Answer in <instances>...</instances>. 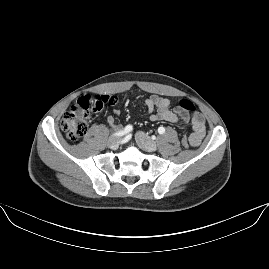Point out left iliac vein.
I'll return each instance as SVG.
<instances>
[{
	"label": "left iliac vein",
	"mask_w": 269,
	"mask_h": 269,
	"mask_svg": "<svg viewBox=\"0 0 269 269\" xmlns=\"http://www.w3.org/2000/svg\"><path fill=\"white\" fill-rule=\"evenodd\" d=\"M135 139L138 145L146 151H155L158 148L157 143L142 131L136 133Z\"/></svg>",
	"instance_id": "4c4485c4"
}]
</instances>
